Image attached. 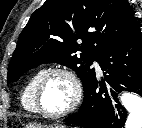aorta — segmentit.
<instances>
[{
	"label": "aorta",
	"instance_id": "1",
	"mask_svg": "<svg viewBox=\"0 0 142 128\" xmlns=\"http://www.w3.org/2000/svg\"><path fill=\"white\" fill-rule=\"evenodd\" d=\"M120 100L129 113L125 128H142V98L134 93H124Z\"/></svg>",
	"mask_w": 142,
	"mask_h": 128
}]
</instances>
